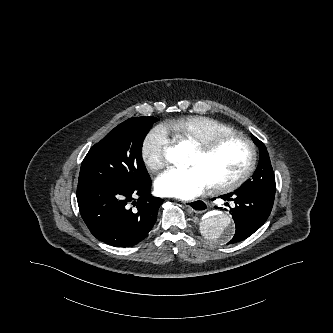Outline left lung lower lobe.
I'll list each match as a JSON object with an SVG mask.
<instances>
[{
	"label": "left lung lower lobe",
	"mask_w": 333,
	"mask_h": 333,
	"mask_svg": "<svg viewBox=\"0 0 333 333\" xmlns=\"http://www.w3.org/2000/svg\"><path fill=\"white\" fill-rule=\"evenodd\" d=\"M274 197V195L266 193L244 190H236L220 196L225 201L235 203L231 214L236 232L228 244L248 238L266 222L273 207Z\"/></svg>",
	"instance_id": "1"
}]
</instances>
